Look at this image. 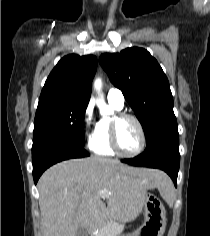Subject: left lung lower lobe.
Listing matches in <instances>:
<instances>
[{"mask_svg": "<svg viewBox=\"0 0 210 236\" xmlns=\"http://www.w3.org/2000/svg\"><path fill=\"white\" fill-rule=\"evenodd\" d=\"M122 162L133 166L161 169L172 178L176 186L180 163L177 128L159 133L147 143L142 154L133 159H124Z\"/></svg>", "mask_w": 210, "mask_h": 236, "instance_id": "obj_1", "label": "left lung lower lobe"}]
</instances>
